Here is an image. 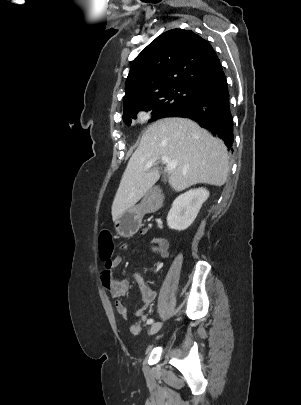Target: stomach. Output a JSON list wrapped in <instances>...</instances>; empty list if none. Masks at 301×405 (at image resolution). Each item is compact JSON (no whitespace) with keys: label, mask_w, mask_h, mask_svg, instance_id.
<instances>
[{"label":"stomach","mask_w":301,"mask_h":405,"mask_svg":"<svg viewBox=\"0 0 301 405\" xmlns=\"http://www.w3.org/2000/svg\"><path fill=\"white\" fill-rule=\"evenodd\" d=\"M142 210L132 208L125 211L115 222L117 232L122 236L135 233L141 226Z\"/></svg>","instance_id":"stomach-1"}]
</instances>
